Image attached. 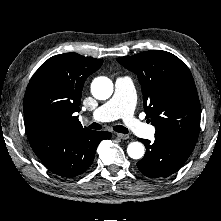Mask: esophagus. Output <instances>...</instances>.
<instances>
[{"label":"esophagus","instance_id":"esophagus-1","mask_svg":"<svg viewBox=\"0 0 221 221\" xmlns=\"http://www.w3.org/2000/svg\"><path fill=\"white\" fill-rule=\"evenodd\" d=\"M117 137L122 139V140H127L129 139V135L127 134H122V133H117Z\"/></svg>","mask_w":221,"mask_h":221}]
</instances>
